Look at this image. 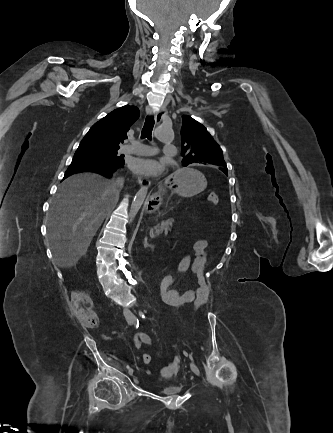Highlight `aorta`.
Here are the masks:
<instances>
[{"mask_svg":"<svg viewBox=\"0 0 333 433\" xmlns=\"http://www.w3.org/2000/svg\"><path fill=\"white\" fill-rule=\"evenodd\" d=\"M155 139L160 143H171L174 140V134L170 126H159L154 131ZM148 193L147 187H141L139 191L134 196L132 201L130 211H129V222L131 223L136 217L138 211L140 210L146 196Z\"/></svg>","mask_w":333,"mask_h":433,"instance_id":"obj_1","label":"aorta"}]
</instances>
